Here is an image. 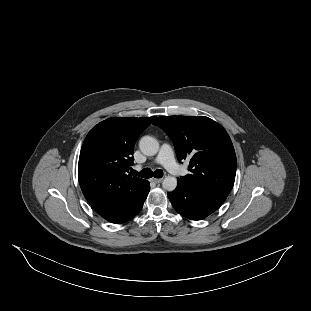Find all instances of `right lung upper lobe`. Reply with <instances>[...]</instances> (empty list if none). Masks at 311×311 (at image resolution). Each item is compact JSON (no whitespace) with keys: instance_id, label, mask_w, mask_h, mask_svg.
<instances>
[{"instance_id":"obj_1","label":"right lung upper lobe","mask_w":311,"mask_h":311,"mask_svg":"<svg viewBox=\"0 0 311 311\" xmlns=\"http://www.w3.org/2000/svg\"><path fill=\"white\" fill-rule=\"evenodd\" d=\"M154 118L106 119L93 127L83 142L79 184L90 205L108 221L122 216L144 192L148 181L127 173L134 164V144Z\"/></svg>"}]
</instances>
